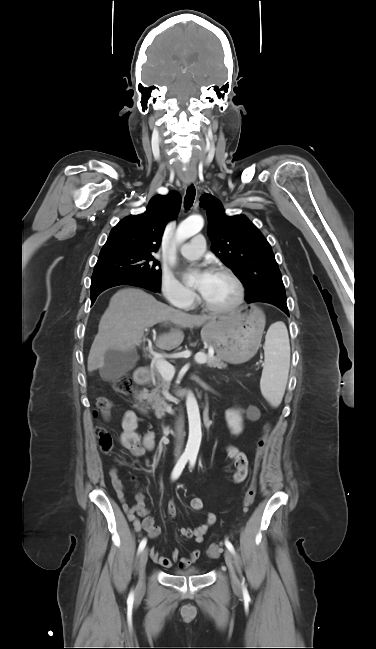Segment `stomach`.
Masks as SVG:
<instances>
[{
  "mask_svg": "<svg viewBox=\"0 0 376 649\" xmlns=\"http://www.w3.org/2000/svg\"><path fill=\"white\" fill-rule=\"evenodd\" d=\"M264 326L263 313L254 308L248 313L234 312L208 321L202 328L201 338L204 344L215 349L218 358L241 363L256 354Z\"/></svg>",
  "mask_w": 376,
  "mask_h": 649,
  "instance_id": "obj_1",
  "label": "stomach"
}]
</instances>
